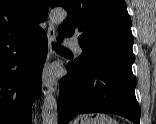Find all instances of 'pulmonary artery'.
<instances>
[{"mask_svg":"<svg viewBox=\"0 0 156 124\" xmlns=\"http://www.w3.org/2000/svg\"><path fill=\"white\" fill-rule=\"evenodd\" d=\"M66 45L71 47L77 54L82 53V49L80 45L78 44L77 40L75 38H69L66 40Z\"/></svg>","mask_w":156,"mask_h":124,"instance_id":"pulmonary-artery-1","label":"pulmonary artery"}]
</instances>
